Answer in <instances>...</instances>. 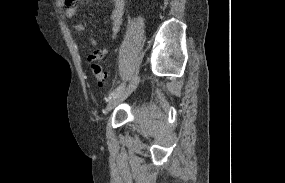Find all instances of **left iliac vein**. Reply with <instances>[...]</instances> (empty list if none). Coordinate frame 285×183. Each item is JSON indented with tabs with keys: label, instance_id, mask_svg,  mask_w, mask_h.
<instances>
[{
	"label": "left iliac vein",
	"instance_id": "1",
	"mask_svg": "<svg viewBox=\"0 0 285 183\" xmlns=\"http://www.w3.org/2000/svg\"><path fill=\"white\" fill-rule=\"evenodd\" d=\"M138 82H139V76L134 75L126 87H123L121 91H119L116 95H114L109 99L105 111L106 112L111 111L116 105H118L126 97H128L131 94V92L136 88Z\"/></svg>",
	"mask_w": 285,
	"mask_h": 183
}]
</instances>
